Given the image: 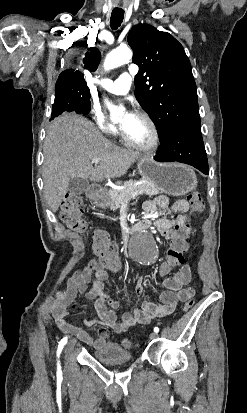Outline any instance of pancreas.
<instances>
[{"mask_svg": "<svg viewBox=\"0 0 247 413\" xmlns=\"http://www.w3.org/2000/svg\"><path fill=\"white\" fill-rule=\"evenodd\" d=\"M144 178H140V180H125L122 186L125 188H109L108 194L111 198L110 209L115 211V209H119L121 207L122 202H130L131 198H135L132 196L136 190H142L141 194H160L159 188H156L154 184H151L149 180L143 182ZM135 182H141V184H135Z\"/></svg>", "mask_w": 247, "mask_h": 413, "instance_id": "pancreas-1", "label": "pancreas"}]
</instances>
